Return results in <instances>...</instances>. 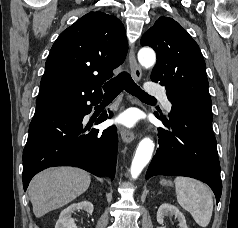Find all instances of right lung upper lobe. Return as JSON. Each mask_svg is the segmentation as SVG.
Masks as SVG:
<instances>
[{
	"instance_id": "1",
	"label": "right lung upper lobe",
	"mask_w": 238,
	"mask_h": 228,
	"mask_svg": "<svg viewBox=\"0 0 238 228\" xmlns=\"http://www.w3.org/2000/svg\"><path fill=\"white\" fill-rule=\"evenodd\" d=\"M127 54L121 21L104 12H89L64 30L45 64L36 111L95 95Z\"/></svg>"
}]
</instances>
